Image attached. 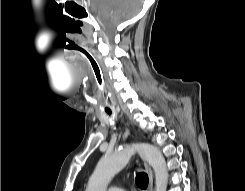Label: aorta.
Returning <instances> with one entry per match:
<instances>
[{
  "instance_id": "aorta-1",
  "label": "aorta",
  "mask_w": 245,
  "mask_h": 191,
  "mask_svg": "<svg viewBox=\"0 0 245 191\" xmlns=\"http://www.w3.org/2000/svg\"><path fill=\"white\" fill-rule=\"evenodd\" d=\"M135 152L152 166L155 173V191H166L168 170L165 158L157 147L148 143L130 144L104 155L90 177L86 191H107L112 178L126 166Z\"/></svg>"
}]
</instances>
